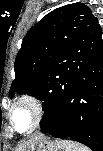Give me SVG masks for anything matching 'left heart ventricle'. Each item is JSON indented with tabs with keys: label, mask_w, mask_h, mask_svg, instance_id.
<instances>
[{
	"label": "left heart ventricle",
	"mask_w": 103,
	"mask_h": 151,
	"mask_svg": "<svg viewBox=\"0 0 103 151\" xmlns=\"http://www.w3.org/2000/svg\"><path fill=\"white\" fill-rule=\"evenodd\" d=\"M13 122L17 130L26 131L33 124V112L27 105L17 107L12 114Z\"/></svg>",
	"instance_id": "b2bd125f"
}]
</instances>
